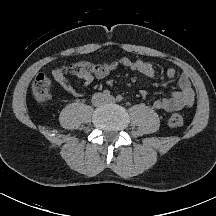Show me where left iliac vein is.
Instances as JSON below:
<instances>
[{
  "instance_id": "left-iliac-vein-1",
  "label": "left iliac vein",
  "mask_w": 216,
  "mask_h": 216,
  "mask_svg": "<svg viewBox=\"0 0 216 216\" xmlns=\"http://www.w3.org/2000/svg\"><path fill=\"white\" fill-rule=\"evenodd\" d=\"M105 102L106 103H113V102H115V98L113 96H110V97L105 99Z\"/></svg>"
}]
</instances>
